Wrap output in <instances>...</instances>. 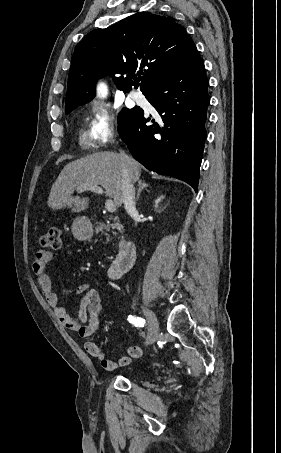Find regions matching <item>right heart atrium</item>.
<instances>
[{"label": "right heart atrium", "mask_w": 281, "mask_h": 453, "mask_svg": "<svg viewBox=\"0 0 281 453\" xmlns=\"http://www.w3.org/2000/svg\"><path fill=\"white\" fill-rule=\"evenodd\" d=\"M97 88L101 93L105 91L103 83H98ZM89 111V134L92 139L104 146L113 142L119 128L115 114L101 101L93 102ZM97 162L110 174L119 173L121 170L118 158L108 152L99 154Z\"/></svg>", "instance_id": "1"}]
</instances>
